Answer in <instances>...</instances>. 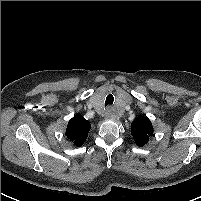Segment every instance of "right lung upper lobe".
<instances>
[{
    "mask_svg": "<svg viewBox=\"0 0 201 201\" xmlns=\"http://www.w3.org/2000/svg\"><path fill=\"white\" fill-rule=\"evenodd\" d=\"M91 124L83 116L77 114L68 123L66 136L76 146L80 147L88 137Z\"/></svg>",
    "mask_w": 201,
    "mask_h": 201,
    "instance_id": "1",
    "label": "right lung upper lobe"
}]
</instances>
